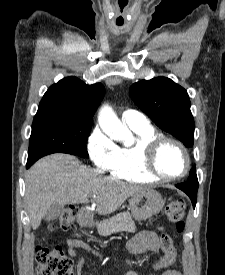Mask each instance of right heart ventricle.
I'll use <instances>...</instances> for the list:
<instances>
[{"mask_svg": "<svg viewBox=\"0 0 225 275\" xmlns=\"http://www.w3.org/2000/svg\"><path fill=\"white\" fill-rule=\"evenodd\" d=\"M136 135V141L129 146L118 148L117 156L111 165V176L133 183H154L157 180L150 176L142 166V145L160 134L151 126H130Z\"/></svg>", "mask_w": 225, "mask_h": 275, "instance_id": "right-heart-ventricle-1", "label": "right heart ventricle"}]
</instances>
